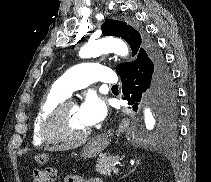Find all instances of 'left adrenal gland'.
Returning <instances> with one entry per match:
<instances>
[{
	"label": "left adrenal gland",
	"instance_id": "obj_1",
	"mask_svg": "<svg viewBox=\"0 0 211 182\" xmlns=\"http://www.w3.org/2000/svg\"><path fill=\"white\" fill-rule=\"evenodd\" d=\"M139 162H140V161L137 162L136 167L139 165ZM136 167H135V168H136ZM135 168H134V169H135Z\"/></svg>",
	"mask_w": 211,
	"mask_h": 182
}]
</instances>
